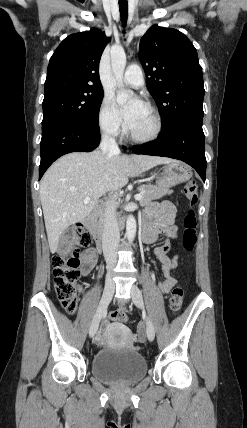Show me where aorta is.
I'll list each match as a JSON object with an SVG mask.
<instances>
[{
  "instance_id": "obj_1",
  "label": "aorta",
  "mask_w": 247,
  "mask_h": 428,
  "mask_svg": "<svg viewBox=\"0 0 247 428\" xmlns=\"http://www.w3.org/2000/svg\"><path fill=\"white\" fill-rule=\"evenodd\" d=\"M111 65L112 71L119 87H123V74L126 67V54L122 47L115 46L111 49ZM126 100L125 97H119L118 102L122 103ZM136 235V220L132 215H129L126 222V237L129 243H132Z\"/></svg>"
}]
</instances>
